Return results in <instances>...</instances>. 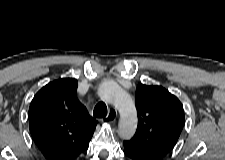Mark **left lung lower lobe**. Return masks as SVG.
Listing matches in <instances>:
<instances>
[{
    "mask_svg": "<svg viewBox=\"0 0 225 160\" xmlns=\"http://www.w3.org/2000/svg\"><path fill=\"white\" fill-rule=\"evenodd\" d=\"M123 151H124V154H125L127 160H146L145 158L130 151L126 146H124Z\"/></svg>",
    "mask_w": 225,
    "mask_h": 160,
    "instance_id": "left-lung-lower-lobe-1",
    "label": "left lung lower lobe"
}]
</instances>
